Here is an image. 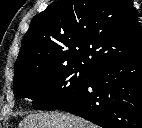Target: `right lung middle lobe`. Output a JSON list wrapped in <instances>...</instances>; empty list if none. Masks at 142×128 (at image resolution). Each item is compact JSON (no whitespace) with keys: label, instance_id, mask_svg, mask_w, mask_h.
Here are the masks:
<instances>
[{"label":"right lung middle lobe","instance_id":"right-lung-middle-lobe-1","mask_svg":"<svg viewBox=\"0 0 142 128\" xmlns=\"http://www.w3.org/2000/svg\"><path fill=\"white\" fill-rule=\"evenodd\" d=\"M92 72L78 64L35 67L14 78L13 92L17 99H32L34 109H58L86 87Z\"/></svg>","mask_w":142,"mask_h":128}]
</instances>
